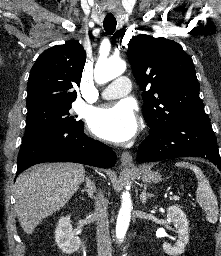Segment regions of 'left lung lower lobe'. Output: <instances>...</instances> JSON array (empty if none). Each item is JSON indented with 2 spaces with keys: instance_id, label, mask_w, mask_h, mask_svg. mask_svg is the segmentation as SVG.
Here are the masks:
<instances>
[{
  "instance_id": "1",
  "label": "left lung lower lobe",
  "mask_w": 221,
  "mask_h": 256,
  "mask_svg": "<svg viewBox=\"0 0 221 256\" xmlns=\"http://www.w3.org/2000/svg\"><path fill=\"white\" fill-rule=\"evenodd\" d=\"M209 159L221 170L217 139L210 119L184 120L170 127L149 130L139 146L138 162H153L177 157Z\"/></svg>"
}]
</instances>
